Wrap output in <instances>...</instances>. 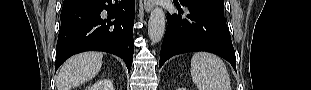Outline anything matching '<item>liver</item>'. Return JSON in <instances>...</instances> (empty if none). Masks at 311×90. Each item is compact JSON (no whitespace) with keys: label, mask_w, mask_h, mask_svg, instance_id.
<instances>
[{"label":"liver","mask_w":311,"mask_h":90,"mask_svg":"<svg viewBox=\"0 0 311 90\" xmlns=\"http://www.w3.org/2000/svg\"><path fill=\"white\" fill-rule=\"evenodd\" d=\"M103 54L84 52L69 58L57 76V90H70L93 78L102 67Z\"/></svg>","instance_id":"1"}]
</instances>
